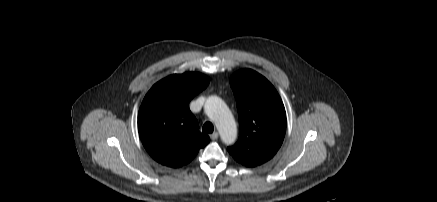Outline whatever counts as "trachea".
<instances>
[{
  "label": "trachea",
  "mask_w": 437,
  "mask_h": 202,
  "mask_svg": "<svg viewBox=\"0 0 437 202\" xmlns=\"http://www.w3.org/2000/svg\"><path fill=\"white\" fill-rule=\"evenodd\" d=\"M214 130L213 124L211 122H205L202 131L205 133H212Z\"/></svg>",
  "instance_id": "1"
}]
</instances>
